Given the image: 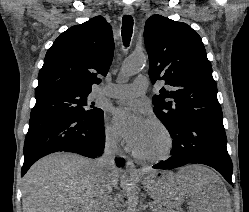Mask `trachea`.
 <instances>
[{
  "label": "trachea",
  "instance_id": "3493384b",
  "mask_svg": "<svg viewBox=\"0 0 249 212\" xmlns=\"http://www.w3.org/2000/svg\"><path fill=\"white\" fill-rule=\"evenodd\" d=\"M133 30V18L130 15H124L122 23V39L125 47L129 46Z\"/></svg>",
  "mask_w": 249,
  "mask_h": 212
}]
</instances>
